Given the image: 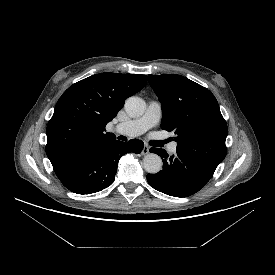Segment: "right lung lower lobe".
I'll return each instance as SVG.
<instances>
[{
	"mask_svg": "<svg viewBox=\"0 0 275 275\" xmlns=\"http://www.w3.org/2000/svg\"><path fill=\"white\" fill-rule=\"evenodd\" d=\"M143 145L137 139L128 143L114 140L51 163L66 188L78 194H91L110 186L115 179L119 159L128 152L140 153Z\"/></svg>",
	"mask_w": 275,
	"mask_h": 275,
	"instance_id": "98d812e1",
	"label": "right lung lower lobe"
}]
</instances>
